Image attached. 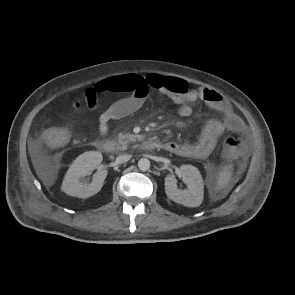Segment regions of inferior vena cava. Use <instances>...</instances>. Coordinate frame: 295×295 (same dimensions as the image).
<instances>
[{
    "label": "inferior vena cava",
    "instance_id": "1",
    "mask_svg": "<svg viewBox=\"0 0 295 295\" xmlns=\"http://www.w3.org/2000/svg\"><path fill=\"white\" fill-rule=\"evenodd\" d=\"M130 159H131V155H129V154L119 155L116 158V163L117 164H122V163H125V162L129 161Z\"/></svg>",
    "mask_w": 295,
    "mask_h": 295
}]
</instances>
